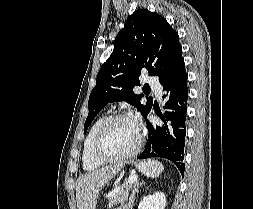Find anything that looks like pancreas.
I'll list each match as a JSON object with an SVG mask.
<instances>
[{"label": "pancreas", "instance_id": "1", "mask_svg": "<svg viewBox=\"0 0 253 209\" xmlns=\"http://www.w3.org/2000/svg\"><path fill=\"white\" fill-rule=\"evenodd\" d=\"M133 185L128 184L126 182L121 186L119 190H117L115 193L111 194L108 196V201H109V208H111L113 205H119V204H124V202L128 199L129 193L132 190Z\"/></svg>", "mask_w": 253, "mask_h": 209}]
</instances>
